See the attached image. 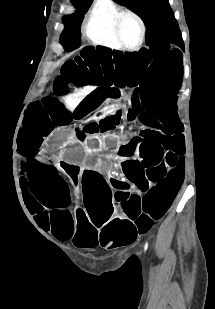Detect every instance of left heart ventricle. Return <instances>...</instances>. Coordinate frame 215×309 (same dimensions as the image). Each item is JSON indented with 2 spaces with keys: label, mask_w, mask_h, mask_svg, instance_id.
<instances>
[{
  "label": "left heart ventricle",
  "mask_w": 215,
  "mask_h": 309,
  "mask_svg": "<svg viewBox=\"0 0 215 309\" xmlns=\"http://www.w3.org/2000/svg\"><path fill=\"white\" fill-rule=\"evenodd\" d=\"M119 39H124V46H132L138 41V27L129 17H124L122 24L119 25Z\"/></svg>",
  "instance_id": "obj_1"
}]
</instances>
